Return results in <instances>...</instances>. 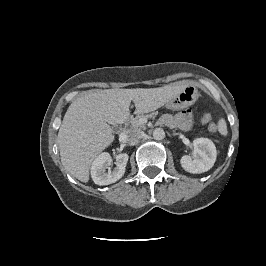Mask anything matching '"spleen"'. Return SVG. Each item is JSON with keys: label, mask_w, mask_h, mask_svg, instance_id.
<instances>
[{"label": "spleen", "mask_w": 266, "mask_h": 266, "mask_svg": "<svg viewBox=\"0 0 266 266\" xmlns=\"http://www.w3.org/2000/svg\"><path fill=\"white\" fill-rule=\"evenodd\" d=\"M218 131L226 136L228 131H227V125H226V121L224 119H221L218 123Z\"/></svg>", "instance_id": "3e777b00"}]
</instances>
